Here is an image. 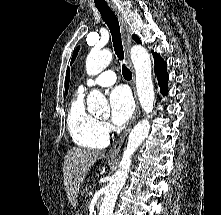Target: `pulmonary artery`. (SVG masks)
<instances>
[{"label":"pulmonary artery","mask_w":221,"mask_h":215,"mask_svg":"<svg viewBox=\"0 0 221 215\" xmlns=\"http://www.w3.org/2000/svg\"><path fill=\"white\" fill-rule=\"evenodd\" d=\"M116 82V73L114 70H107L101 73L96 78H90L88 79L84 85L80 87V91L85 92L89 90L90 88L96 87V86H110L113 85Z\"/></svg>","instance_id":"pulmonary-artery-1"}]
</instances>
